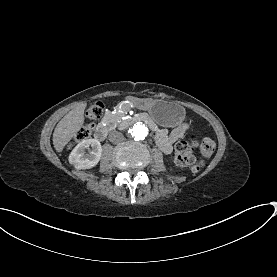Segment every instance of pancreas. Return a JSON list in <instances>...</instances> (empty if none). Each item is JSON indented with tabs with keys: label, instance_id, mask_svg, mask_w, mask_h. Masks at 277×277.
<instances>
[{
	"label": "pancreas",
	"instance_id": "cf45deb5",
	"mask_svg": "<svg viewBox=\"0 0 277 277\" xmlns=\"http://www.w3.org/2000/svg\"><path fill=\"white\" fill-rule=\"evenodd\" d=\"M131 112V106L126 101H121L117 104L116 108L110 109L103 116V121L108 126H113L117 123L120 117H126Z\"/></svg>",
	"mask_w": 277,
	"mask_h": 277
}]
</instances>
